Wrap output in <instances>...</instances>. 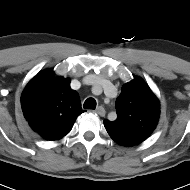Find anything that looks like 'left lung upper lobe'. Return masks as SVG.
Wrapping results in <instances>:
<instances>
[{
    "instance_id": "left-lung-upper-lobe-1",
    "label": "left lung upper lobe",
    "mask_w": 190,
    "mask_h": 190,
    "mask_svg": "<svg viewBox=\"0 0 190 190\" xmlns=\"http://www.w3.org/2000/svg\"><path fill=\"white\" fill-rule=\"evenodd\" d=\"M117 119L104 120L110 137L123 146L147 139L157 126L160 104L149 86L139 77L122 86L116 99Z\"/></svg>"
}]
</instances>
